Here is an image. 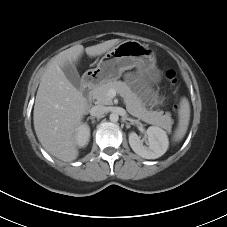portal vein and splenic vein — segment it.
I'll list each match as a JSON object with an SVG mask.
<instances>
[{"mask_svg":"<svg viewBox=\"0 0 227 227\" xmlns=\"http://www.w3.org/2000/svg\"><path fill=\"white\" fill-rule=\"evenodd\" d=\"M108 96H109L110 98H114V97L116 96V91H115L114 89H110V90L108 91Z\"/></svg>","mask_w":227,"mask_h":227,"instance_id":"18ae733b","label":"portal vein and splenic vein"}]
</instances>
